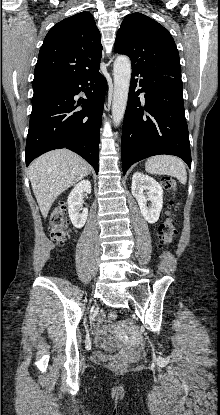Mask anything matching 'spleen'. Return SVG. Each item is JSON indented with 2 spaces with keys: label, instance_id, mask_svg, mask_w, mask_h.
I'll return each mask as SVG.
<instances>
[{
  "label": "spleen",
  "instance_id": "1",
  "mask_svg": "<svg viewBox=\"0 0 220 415\" xmlns=\"http://www.w3.org/2000/svg\"><path fill=\"white\" fill-rule=\"evenodd\" d=\"M145 170L154 175H169L176 177L182 184H185L187 181L185 165L178 157L170 155L151 157L145 163Z\"/></svg>",
  "mask_w": 220,
  "mask_h": 415
}]
</instances>
